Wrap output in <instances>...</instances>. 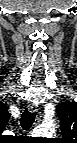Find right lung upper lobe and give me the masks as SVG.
Wrapping results in <instances>:
<instances>
[{
  "label": "right lung upper lobe",
  "instance_id": "right-lung-upper-lobe-1",
  "mask_svg": "<svg viewBox=\"0 0 77 143\" xmlns=\"http://www.w3.org/2000/svg\"><path fill=\"white\" fill-rule=\"evenodd\" d=\"M9 117H10V114L8 113V107L4 105L3 103H0V127L1 129L5 128V125L8 122Z\"/></svg>",
  "mask_w": 77,
  "mask_h": 143
}]
</instances>
